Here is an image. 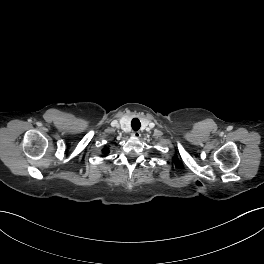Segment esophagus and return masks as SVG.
<instances>
[{"label": "esophagus", "instance_id": "1", "mask_svg": "<svg viewBox=\"0 0 264 264\" xmlns=\"http://www.w3.org/2000/svg\"><path fill=\"white\" fill-rule=\"evenodd\" d=\"M140 132L139 131H133L132 133H131V136L132 137H134V138H138V137H140Z\"/></svg>", "mask_w": 264, "mask_h": 264}]
</instances>
